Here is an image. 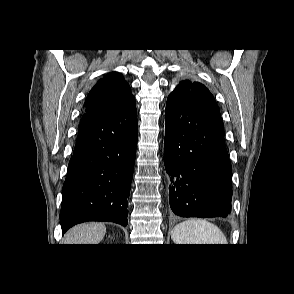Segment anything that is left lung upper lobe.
I'll list each match as a JSON object with an SVG mask.
<instances>
[{
  "instance_id": "1",
  "label": "left lung upper lobe",
  "mask_w": 294,
  "mask_h": 294,
  "mask_svg": "<svg viewBox=\"0 0 294 294\" xmlns=\"http://www.w3.org/2000/svg\"><path fill=\"white\" fill-rule=\"evenodd\" d=\"M169 97L191 106L217 105L213 95L203 84L190 79L180 81Z\"/></svg>"
}]
</instances>
